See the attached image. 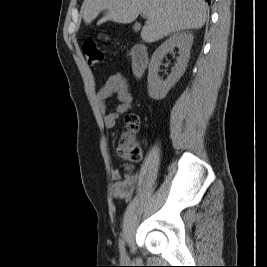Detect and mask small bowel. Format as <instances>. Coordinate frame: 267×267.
<instances>
[{
  "label": "small bowel",
  "mask_w": 267,
  "mask_h": 267,
  "mask_svg": "<svg viewBox=\"0 0 267 267\" xmlns=\"http://www.w3.org/2000/svg\"><path fill=\"white\" fill-rule=\"evenodd\" d=\"M115 96L119 102L115 111L106 112V101ZM97 100L100 110L103 112L104 125L108 129L116 126L120 114L126 113L132 109L133 96L126 78L120 74L110 76L103 86L97 92ZM112 194L114 198L129 200L132 196V186L135 183L136 176L129 166L123 171L113 170Z\"/></svg>",
  "instance_id": "c3829d8e"
}]
</instances>
